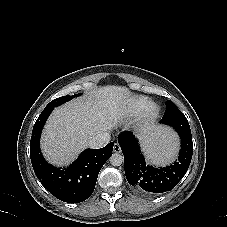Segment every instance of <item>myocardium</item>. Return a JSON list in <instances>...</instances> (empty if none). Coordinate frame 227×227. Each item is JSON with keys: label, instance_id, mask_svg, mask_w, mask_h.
<instances>
[{"label": "myocardium", "instance_id": "myocardium-1", "mask_svg": "<svg viewBox=\"0 0 227 227\" xmlns=\"http://www.w3.org/2000/svg\"><path fill=\"white\" fill-rule=\"evenodd\" d=\"M158 115L159 107L154 103H150L143 112L142 120L144 123H148L157 118Z\"/></svg>", "mask_w": 227, "mask_h": 227}]
</instances>
